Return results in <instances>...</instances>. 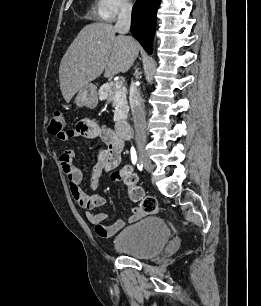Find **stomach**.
I'll list each match as a JSON object with an SVG mask.
<instances>
[{
    "instance_id": "obj_1",
    "label": "stomach",
    "mask_w": 261,
    "mask_h": 306,
    "mask_svg": "<svg viewBox=\"0 0 261 306\" xmlns=\"http://www.w3.org/2000/svg\"><path fill=\"white\" fill-rule=\"evenodd\" d=\"M75 103L79 107L86 106L88 108H95L98 104L96 86L92 83H88L81 87L75 97Z\"/></svg>"
}]
</instances>
